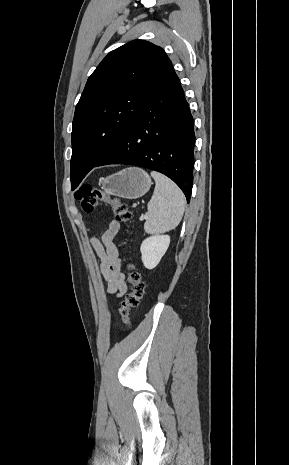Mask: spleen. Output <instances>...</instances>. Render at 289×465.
I'll return each mask as SVG.
<instances>
[{
    "label": "spleen",
    "instance_id": "obj_1",
    "mask_svg": "<svg viewBox=\"0 0 289 465\" xmlns=\"http://www.w3.org/2000/svg\"><path fill=\"white\" fill-rule=\"evenodd\" d=\"M155 189L148 203L144 230L148 234H160L175 229L185 210V196L181 189L168 177L151 172Z\"/></svg>",
    "mask_w": 289,
    "mask_h": 465
}]
</instances>
